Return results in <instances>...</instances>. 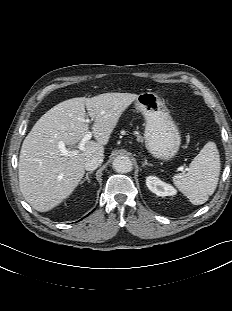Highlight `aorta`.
<instances>
[{
    "label": "aorta",
    "mask_w": 232,
    "mask_h": 311,
    "mask_svg": "<svg viewBox=\"0 0 232 311\" xmlns=\"http://www.w3.org/2000/svg\"><path fill=\"white\" fill-rule=\"evenodd\" d=\"M112 165L113 169L118 173H128L133 169L132 161L127 156H117Z\"/></svg>",
    "instance_id": "762f6f07"
}]
</instances>
